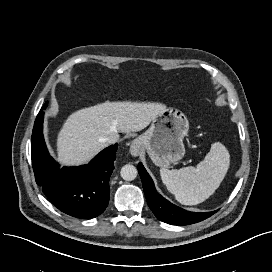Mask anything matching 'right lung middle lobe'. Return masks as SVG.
<instances>
[{
    "label": "right lung middle lobe",
    "instance_id": "right-lung-middle-lobe-1",
    "mask_svg": "<svg viewBox=\"0 0 272 272\" xmlns=\"http://www.w3.org/2000/svg\"><path fill=\"white\" fill-rule=\"evenodd\" d=\"M46 107V104L42 107V109H44Z\"/></svg>",
    "mask_w": 272,
    "mask_h": 272
}]
</instances>
